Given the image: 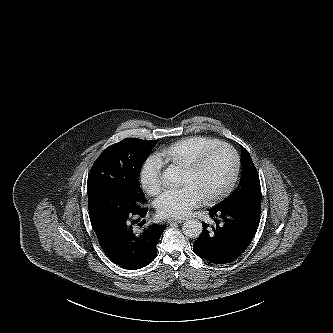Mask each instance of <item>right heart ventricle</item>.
Returning a JSON list of instances; mask_svg holds the SVG:
<instances>
[{"instance_id":"obj_1","label":"right heart ventricle","mask_w":333,"mask_h":333,"mask_svg":"<svg viewBox=\"0 0 333 333\" xmlns=\"http://www.w3.org/2000/svg\"><path fill=\"white\" fill-rule=\"evenodd\" d=\"M221 142L208 136H191L180 139L159 151L161 158L178 167H183L206 148Z\"/></svg>"}]
</instances>
